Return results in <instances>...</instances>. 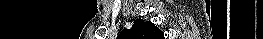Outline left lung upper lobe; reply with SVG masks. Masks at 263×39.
Masks as SVG:
<instances>
[{
  "label": "left lung upper lobe",
  "instance_id": "left-lung-upper-lobe-1",
  "mask_svg": "<svg viewBox=\"0 0 263 39\" xmlns=\"http://www.w3.org/2000/svg\"><path fill=\"white\" fill-rule=\"evenodd\" d=\"M119 39H164L159 28L150 22L141 19L134 21L131 29H124L119 35Z\"/></svg>",
  "mask_w": 263,
  "mask_h": 39
}]
</instances>
